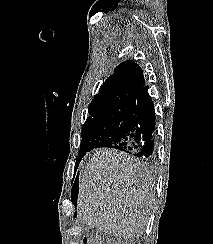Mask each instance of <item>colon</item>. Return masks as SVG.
<instances>
[{
	"mask_svg": "<svg viewBox=\"0 0 213 244\" xmlns=\"http://www.w3.org/2000/svg\"><path fill=\"white\" fill-rule=\"evenodd\" d=\"M93 242H94V244H113L112 242H104V243H102V241H100L99 243H95L97 241H93ZM85 244H87L86 240H85Z\"/></svg>",
	"mask_w": 213,
	"mask_h": 244,
	"instance_id": "5ec220e1",
	"label": "colon"
}]
</instances>
